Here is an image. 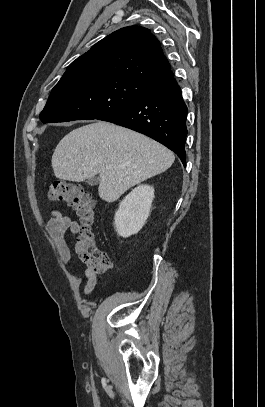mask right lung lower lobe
Instances as JSON below:
<instances>
[{"label": "right lung lower lobe", "mask_w": 265, "mask_h": 407, "mask_svg": "<svg viewBox=\"0 0 265 407\" xmlns=\"http://www.w3.org/2000/svg\"><path fill=\"white\" fill-rule=\"evenodd\" d=\"M187 106L173 75L137 103L99 120L127 127L162 143L175 152L185 166Z\"/></svg>", "instance_id": "1"}]
</instances>
